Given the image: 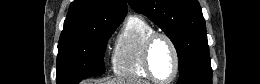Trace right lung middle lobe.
<instances>
[{
    "instance_id": "obj_1",
    "label": "right lung middle lobe",
    "mask_w": 260,
    "mask_h": 84,
    "mask_svg": "<svg viewBox=\"0 0 260 84\" xmlns=\"http://www.w3.org/2000/svg\"><path fill=\"white\" fill-rule=\"evenodd\" d=\"M121 22H102L86 37L59 40L57 84H78L84 78L104 74L107 41Z\"/></svg>"
}]
</instances>
